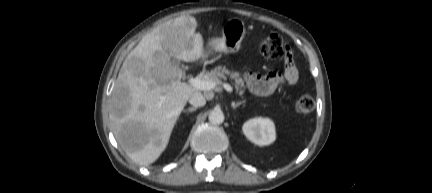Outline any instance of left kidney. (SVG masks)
<instances>
[{
	"label": "left kidney",
	"mask_w": 432,
	"mask_h": 193,
	"mask_svg": "<svg viewBox=\"0 0 432 193\" xmlns=\"http://www.w3.org/2000/svg\"><path fill=\"white\" fill-rule=\"evenodd\" d=\"M242 130L247 139L259 146L269 145L276 139L275 125L269 118L250 119L243 124Z\"/></svg>",
	"instance_id": "5707ae66"
}]
</instances>
